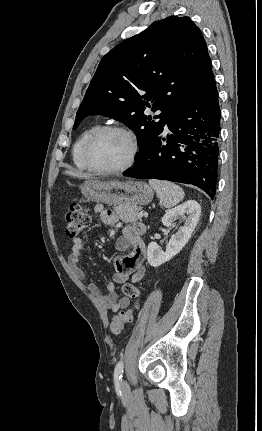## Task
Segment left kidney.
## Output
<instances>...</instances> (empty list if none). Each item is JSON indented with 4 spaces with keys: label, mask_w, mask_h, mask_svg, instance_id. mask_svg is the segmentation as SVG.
<instances>
[{
    "label": "left kidney",
    "mask_w": 262,
    "mask_h": 431,
    "mask_svg": "<svg viewBox=\"0 0 262 431\" xmlns=\"http://www.w3.org/2000/svg\"><path fill=\"white\" fill-rule=\"evenodd\" d=\"M200 215L201 206L194 200H189L167 211L162 218V223L165 227H170L178 219H184L185 223L176 234L172 235L165 252L161 250L156 242L149 243L147 250L148 263L153 267H158L177 255L191 238Z\"/></svg>",
    "instance_id": "obj_1"
}]
</instances>
